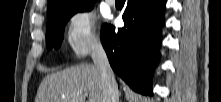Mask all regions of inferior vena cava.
I'll return each instance as SVG.
<instances>
[{"mask_svg": "<svg viewBox=\"0 0 221 102\" xmlns=\"http://www.w3.org/2000/svg\"><path fill=\"white\" fill-rule=\"evenodd\" d=\"M91 57L94 65L100 70L104 85L103 102H119V92L114 72L109 64L106 52L99 40L92 46Z\"/></svg>", "mask_w": 221, "mask_h": 102, "instance_id": "1", "label": "inferior vena cava"}]
</instances>
